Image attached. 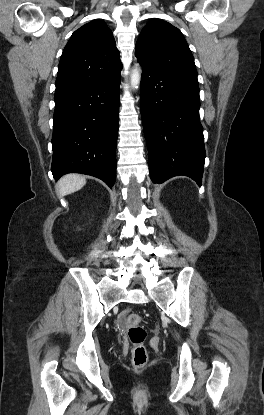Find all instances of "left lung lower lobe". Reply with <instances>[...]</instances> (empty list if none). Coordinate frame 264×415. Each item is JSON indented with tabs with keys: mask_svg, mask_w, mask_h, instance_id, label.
I'll list each match as a JSON object with an SVG mask.
<instances>
[{
	"mask_svg": "<svg viewBox=\"0 0 264 415\" xmlns=\"http://www.w3.org/2000/svg\"><path fill=\"white\" fill-rule=\"evenodd\" d=\"M142 70L140 108L153 183L185 175L201 185L205 147L197 78Z\"/></svg>",
	"mask_w": 264,
	"mask_h": 415,
	"instance_id": "0a47b994",
	"label": "left lung lower lobe"
}]
</instances>
